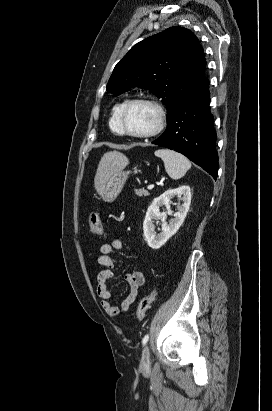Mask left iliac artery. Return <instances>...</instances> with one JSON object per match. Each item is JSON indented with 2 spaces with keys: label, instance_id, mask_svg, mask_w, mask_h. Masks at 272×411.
<instances>
[{
  "label": "left iliac artery",
  "instance_id": "left-iliac-artery-1",
  "mask_svg": "<svg viewBox=\"0 0 272 411\" xmlns=\"http://www.w3.org/2000/svg\"><path fill=\"white\" fill-rule=\"evenodd\" d=\"M148 339H149V335L146 334V335L144 336V338L142 339V344L145 345V344L147 343Z\"/></svg>",
  "mask_w": 272,
  "mask_h": 411
}]
</instances>
